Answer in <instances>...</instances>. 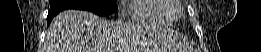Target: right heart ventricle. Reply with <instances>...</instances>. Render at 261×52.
<instances>
[{
  "label": "right heart ventricle",
  "instance_id": "1",
  "mask_svg": "<svg viewBox=\"0 0 261 52\" xmlns=\"http://www.w3.org/2000/svg\"><path fill=\"white\" fill-rule=\"evenodd\" d=\"M173 1L170 0H133L126 9L128 21L148 24H171Z\"/></svg>",
  "mask_w": 261,
  "mask_h": 52
}]
</instances>
